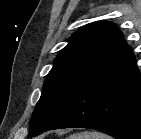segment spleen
I'll return each instance as SVG.
<instances>
[{
  "label": "spleen",
  "mask_w": 141,
  "mask_h": 139,
  "mask_svg": "<svg viewBox=\"0 0 141 139\" xmlns=\"http://www.w3.org/2000/svg\"><path fill=\"white\" fill-rule=\"evenodd\" d=\"M68 139H112V138L100 132L85 131L71 134Z\"/></svg>",
  "instance_id": "3e777b00"
}]
</instances>
